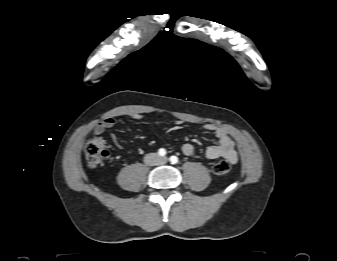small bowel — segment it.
<instances>
[{
  "mask_svg": "<svg viewBox=\"0 0 337 261\" xmlns=\"http://www.w3.org/2000/svg\"><path fill=\"white\" fill-rule=\"evenodd\" d=\"M128 117L132 120H141L143 118V116L139 113H131ZM177 123L181 124L183 121L178 120ZM114 124L115 119L108 117L97 124L95 127V133L101 135ZM204 129L213 132L218 139L217 144L207 147L205 152L206 157L208 159H218L222 157L230 163L235 164L238 161V155L235 149V143L229 133L224 128L212 123L205 124ZM112 139L116 140L115 136H112ZM181 151L183 154L190 156L194 153V147L190 143H184L181 145Z\"/></svg>",
  "mask_w": 337,
  "mask_h": 261,
  "instance_id": "small-bowel-1",
  "label": "small bowel"
}]
</instances>
